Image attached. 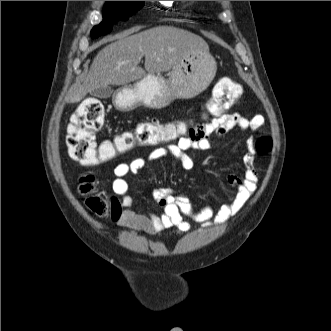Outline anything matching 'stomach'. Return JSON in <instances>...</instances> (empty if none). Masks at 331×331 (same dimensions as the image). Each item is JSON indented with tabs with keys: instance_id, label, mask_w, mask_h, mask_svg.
Segmentation results:
<instances>
[{
	"instance_id": "obj_1",
	"label": "stomach",
	"mask_w": 331,
	"mask_h": 331,
	"mask_svg": "<svg viewBox=\"0 0 331 331\" xmlns=\"http://www.w3.org/2000/svg\"><path fill=\"white\" fill-rule=\"evenodd\" d=\"M216 70L217 64L209 48L196 50L171 70L168 79L148 74L135 84L120 89L115 96V107L122 111L140 105L160 109L175 99L193 98L209 86Z\"/></svg>"
}]
</instances>
